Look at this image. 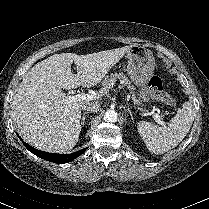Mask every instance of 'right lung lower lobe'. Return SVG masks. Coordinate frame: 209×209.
I'll return each mask as SVG.
<instances>
[{
  "mask_svg": "<svg viewBox=\"0 0 209 209\" xmlns=\"http://www.w3.org/2000/svg\"><path fill=\"white\" fill-rule=\"evenodd\" d=\"M23 143H24L25 147L30 152L34 153L38 157H41L42 159H45L50 162L58 163V164L67 163L69 161H72L73 159H75L76 157H78L79 155L84 153L87 149V148H84L82 150H79V151L71 153V154H55V153H47V152H43L41 150L34 149L33 147H31L27 143H25V142H23Z\"/></svg>",
  "mask_w": 209,
  "mask_h": 209,
  "instance_id": "98d812e1",
  "label": "right lung lower lobe"
}]
</instances>
